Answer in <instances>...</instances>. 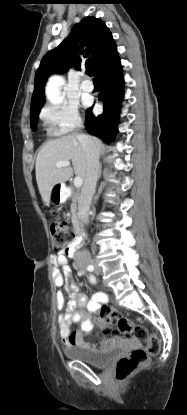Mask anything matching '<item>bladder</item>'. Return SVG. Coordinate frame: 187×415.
<instances>
[{
    "instance_id": "bladder-1",
    "label": "bladder",
    "mask_w": 187,
    "mask_h": 415,
    "mask_svg": "<svg viewBox=\"0 0 187 415\" xmlns=\"http://www.w3.org/2000/svg\"><path fill=\"white\" fill-rule=\"evenodd\" d=\"M65 355L74 360H79L97 368H104L121 352V347L116 346L105 351H90L83 347H68Z\"/></svg>"
}]
</instances>
